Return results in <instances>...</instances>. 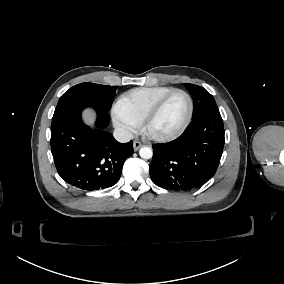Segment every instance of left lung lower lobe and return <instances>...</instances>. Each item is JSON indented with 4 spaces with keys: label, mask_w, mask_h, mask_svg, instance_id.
<instances>
[{
    "label": "left lung lower lobe",
    "mask_w": 284,
    "mask_h": 284,
    "mask_svg": "<svg viewBox=\"0 0 284 284\" xmlns=\"http://www.w3.org/2000/svg\"><path fill=\"white\" fill-rule=\"evenodd\" d=\"M223 147L220 113L193 119L177 140L153 148L151 179L157 186L173 191L196 189L215 174Z\"/></svg>",
    "instance_id": "left-lung-lower-lobe-1"
}]
</instances>
